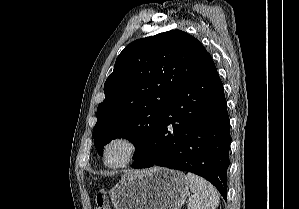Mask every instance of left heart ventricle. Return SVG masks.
Returning <instances> with one entry per match:
<instances>
[{
  "label": "left heart ventricle",
  "mask_w": 299,
  "mask_h": 209,
  "mask_svg": "<svg viewBox=\"0 0 299 209\" xmlns=\"http://www.w3.org/2000/svg\"><path fill=\"white\" fill-rule=\"evenodd\" d=\"M128 148L124 143H114L107 151V163L110 165H116L121 163L126 155Z\"/></svg>",
  "instance_id": "obj_1"
}]
</instances>
